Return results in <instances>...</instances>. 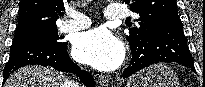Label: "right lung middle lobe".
Masks as SVG:
<instances>
[{
    "label": "right lung middle lobe",
    "mask_w": 205,
    "mask_h": 87,
    "mask_svg": "<svg viewBox=\"0 0 205 87\" xmlns=\"http://www.w3.org/2000/svg\"><path fill=\"white\" fill-rule=\"evenodd\" d=\"M60 39L61 38L58 36V29L54 28L15 33L13 43L25 41H40L52 46H60L64 44V42L59 41Z\"/></svg>",
    "instance_id": "right-lung-middle-lobe-1"
}]
</instances>
